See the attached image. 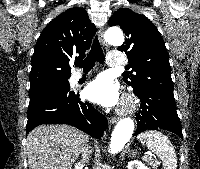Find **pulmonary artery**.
<instances>
[{"label": "pulmonary artery", "mask_w": 200, "mask_h": 169, "mask_svg": "<svg viewBox=\"0 0 200 169\" xmlns=\"http://www.w3.org/2000/svg\"><path fill=\"white\" fill-rule=\"evenodd\" d=\"M108 65L109 66H121L124 64L123 53L120 51H112L108 56ZM82 77L81 74H76L73 78L74 81H78Z\"/></svg>", "instance_id": "1"}]
</instances>
